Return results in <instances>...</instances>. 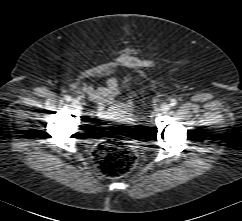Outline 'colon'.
I'll list each match as a JSON object with an SVG mask.
<instances>
[{
	"instance_id": "colon-1",
	"label": "colon",
	"mask_w": 242,
	"mask_h": 221,
	"mask_svg": "<svg viewBox=\"0 0 242 221\" xmlns=\"http://www.w3.org/2000/svg\"><path fill=\"white\" fill-rule=\"evenodd\" d=\"M137 156L127 143L106 141L94 151V162L99 172L107 177L117 178L129 173L135 166Z\"/></svg>"
}]
</instances>
